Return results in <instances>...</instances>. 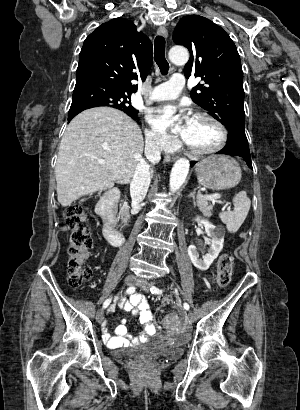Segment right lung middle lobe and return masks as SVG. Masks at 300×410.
Returning <instances> with one entry per match:
<instances>
[{"instance_id": "right-lung-middle-lobe-1", "label": "right lung middle lobe", "mask_w": 300, "mask_h": 410, "mask_svg": "<svg viewBox=\"0 0 300 410\" xmlns=\"http://www.w3.org/2000/svg\"><path fill=\"white\" fill-rule=\"evenodd\" d=\"M131 95L95 83H77L73 91L69 115L98 106H110L137 117L138 111L131 106Z\"/></svg>"}]
</instances>
